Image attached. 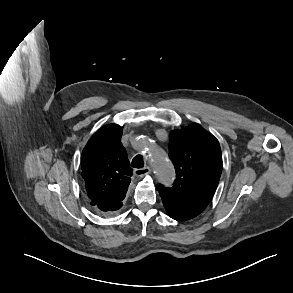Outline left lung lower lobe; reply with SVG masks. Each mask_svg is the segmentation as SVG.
Masks as SVG:
<instances>
[{
    "label": "left lung lower lobe",
    "instance_id": "0a47b994",
    "mask_svg": "<svg viewBox=\"0 0 293 293\" xmlns=\"http://www.w3.org/2000/svg\"><path fill=\"white\" fill-rule=\"evenodd\" d=\"M160 196L166 212L171 218L177 221H186L198 215L197 213L183 207L182 205H179L177 202L172 201L170 198L162 194H160Z\"/></svg>",
    "mask_w": 293,
    "mask_h": 293
}]
</instances>
